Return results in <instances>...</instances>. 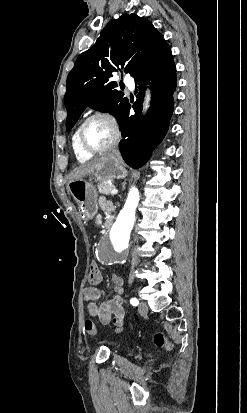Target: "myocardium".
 <instances>
[{
    "instance_id": "obj_1",
    "label": "myocardium",
    "mask_w": 247,
    "mask_h": 413,
    "mask_svg": "<svg viewBox=\"0 0 247 413\" xmlns=\"http://www.w3.org/2000/svg\"><path fill=\"white\" fill-rule=\"evenodd\" d=\"M94 120H106L108 121L114 129V135L111 141L106 144L105 146L98 148V149H91L87 147L82 139V133L85 129V127L92 121ZM122 132L120 129V126L118 122L109 114L106 112H96L92 114L90 117H88L78 128L77 130V144L79 149L86 155L94 156V155H101L112 148H114L121 140Z\"/></svg>"
}]
</instances>
